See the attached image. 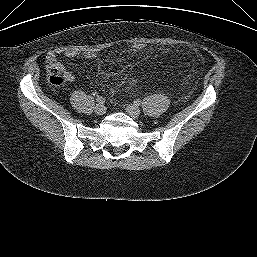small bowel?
Wrapping results in <instances>:
<instances>
[{"label": "small bowel", "mask_w": 257, "mask_h": 257, "mask_svg": "<svg viewBox=\"0 0 257 257\" xmlns=\"http://www.w3.org/2000/svg\"><path fill=\"white\" fill-rule=\"evenodd\" d=\"M62 54L63 56L67 58H78V57H84L89 59H95L98 54L96 51L87 50V51H78V50H62V49H56V50H50L46 55V61L47 64H50L52 62L56 61L57 55ZM72 75H68V79H72Z\"/></svg>", "instance_id": "1"}]
</instances>
